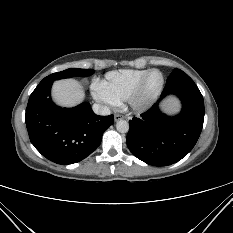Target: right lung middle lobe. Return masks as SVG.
<instances>
[{"label": "right lung middle lobe", "instance_id": "dd1d6c3e", "mask_svg": "<svg viewBox=\"0 0 233 233\" xmlns=\"http://www.w3.org/2000/svg\"><path fill=\"white\" fill-rule=\"evenodd\" d=\"M94 73V70L91 69H77V68H70L61 72H57L51 74L52 76L59 77V78H71L73 76H90Z\"/></svg>", "mask_w": 233, "mask_h": 233}]
</instances>
